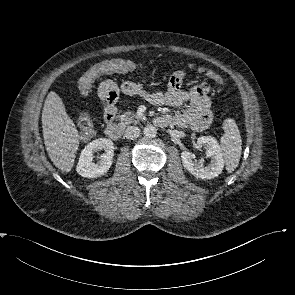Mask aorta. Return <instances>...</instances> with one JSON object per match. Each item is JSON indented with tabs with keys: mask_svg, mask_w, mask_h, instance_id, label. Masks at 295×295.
<instances>
[{
	"mask_svg": "<svg viewBox=\"0 0 295 295\" xmlns=\"http://www.w3.org/2000/svg\"><path fill=\"white\" fill-rule=\"evenodd\" d=\"M143 133L147 138H154L157 134V128L154 125L149 124L144 127Z\"/></svg>",
	"mask_w": 295,
	"mask_h": 295,
	"instance_id": "762f6f07",
	"label": "aorta"
}]
</instances>
